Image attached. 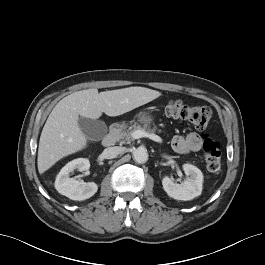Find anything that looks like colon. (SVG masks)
<instances>
[{
	"mask_svg": "<svg viewBox=\"0 0 265 265\" xmlns=\"http://www.w3.org/2000/svg\"><path fill=\"white\" fill-rule=\"evenodd\" d=\"M166 116L190 122L198 129L206 128L212 119V111L207 106H190L182 101H171L164 107ZM208 171L217 173L221 168V151L218 141L206 136L203 143Z\"/></svg>",
	"mask_w": 265,
	"mask_h": 265,
	"instance_id": "colon-1",
	"label": "colon"
}]
</instances>
